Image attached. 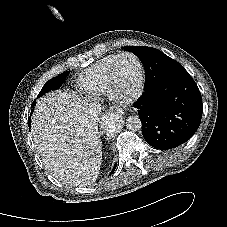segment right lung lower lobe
Here are the masks:
<instances>
[{
	"instance_id": "98d812e1",
	"label": "right lung lower lobe",
	"mask_w": 227,
	"mask_h": 227,
	"mask_svg": "<svg viewBox=\"0 0 227 227\" xmlns=\"http://www.w3.org/2000/svg\"><path fill=\"white\" fill-rule=\"evenodd\" d=\"M29 119H30V118H29ZM116 166H117V164H115V165H114V167H113V170H112L111 174L114 172V170H115Z\"/></svg>"
}]
</instances>
